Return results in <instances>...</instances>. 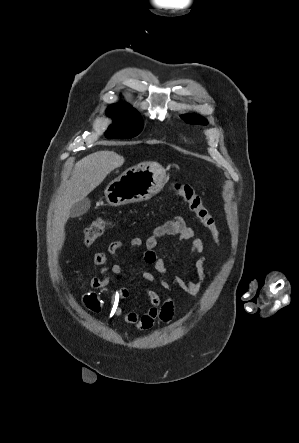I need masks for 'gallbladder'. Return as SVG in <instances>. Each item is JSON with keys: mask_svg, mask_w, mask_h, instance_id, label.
<instances>
[{"mask_svg": "<svg viewBox=\"0 0 299 443\" xmlns=\"http://www.w3.org/2000/svg\"><path fill=\"white\" fill-rule=\"evenodd\" d=\"M91 202L88 198H84L74 203L70 209L71 217H79L84 215L90 209Z\"/></svg>", "mask_w": 299, "mask_h": 443, "instance_id": "bac80fb5", "label": "gallbladder"}]
</instances>
